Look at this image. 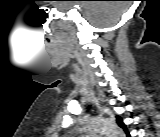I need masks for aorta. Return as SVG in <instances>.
<instances>
[{
  "instance_id": "762f6f07",
  "label": "aorta",
  "mask_w": 160,
  "mask_h": 137,
  "mask_svg": "<svg viewBox=\"0 0 160 137\" xmlns=\"http://www.w3.org/2000/svg\"><path fill=\"white\" fill-rule=\"evenodd\" d=\"M92 129V132L105 134L108 137H124L123 131L114 123L100 122Z\"/></svg>"
}]
</instances>
